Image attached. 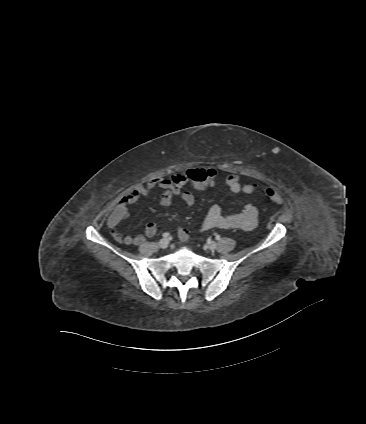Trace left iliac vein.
Wrapping results in <instances>:
<instances>
[{
  "mask_svg": "<svg viewBox=\"0 0 366 424\" xmlns=\"http://www.w3.org/2000/svg\"><path fill=\"white\" fill-rule=\"evenodd\" d=\"M216 247H217V243H216L215 241H211V242H209V243H208V245H207V248H208L209 250H215V249H216Z\"/></svg>",
  "mask_w": 366,
  "mask_h": 424,
  "instance_id": "left-iliac-vein-1",
  "label": "left iliac vein"
}]
</instances>
